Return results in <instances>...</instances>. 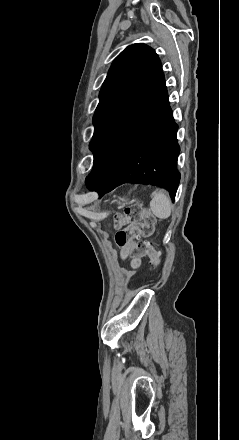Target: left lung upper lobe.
I'll list each match as a JSON object with an SVG mask.
<instances>
[{"label":"left lung upper lobe","mask_w":239,"mask_h":440,"mask_svg":"<svg viewBox=\"0 0 239 440\" xmlns=\"http://www.w3.org/2000/svg\"><path fill=\"white\" fill-rule=\"evenodd\" d=\"M162 65L149 46L136 43L124 49L113 61L102 85L90 142L94 151L110 128L119 121L161 75Z\"/></svg>","instance_id":"5c2ea615"}]
</instances>
